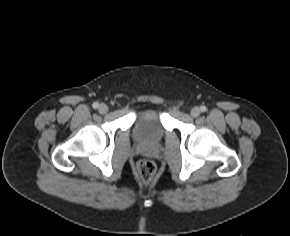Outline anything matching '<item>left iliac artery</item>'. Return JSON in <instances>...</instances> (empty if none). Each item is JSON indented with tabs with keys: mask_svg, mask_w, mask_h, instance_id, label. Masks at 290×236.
I'll return each instance as SVG.
<instances>
[{
	"mask_svg": "<svg viewBox=\"0 0 290 236\" xmlns=\"http://www.w3.org/2000/svg\"><path fill=\"white\" fill-rule=\"evenodd\" d=\"M200 109H201L202 112H206L207 111V107L206 106H201Z\"/></svg>",
	"mask_w": 290,
	"mask_h": 236,
	"instance_id": "1",
	"label": "left iliac artery"
}]
</instances>
